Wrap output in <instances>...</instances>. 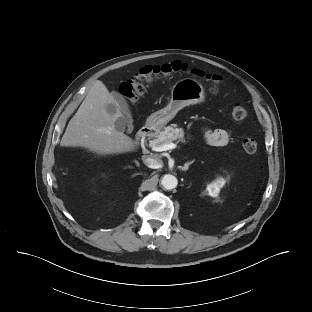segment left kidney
<instances>
[{"label": "left kidney", "instance_id": "1", "mask_svg": "<svg viewBox=\"0 0 312 312\" xmlns=\"http://www.w3.org/2000/svg\"><path fill=\"white\" fill-rule=\"evenodd\" d=\"M225 184L223 178H218L215 182L208 184L207 192L211 197H217L220 192V188Z\"/></svg>", "mask_w": 312, "mask_h": 312}]
</instances>
